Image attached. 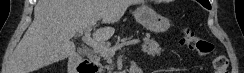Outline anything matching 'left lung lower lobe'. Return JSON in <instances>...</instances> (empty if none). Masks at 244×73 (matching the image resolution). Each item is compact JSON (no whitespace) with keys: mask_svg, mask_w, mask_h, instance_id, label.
Here are the masks:
<instances>
[{"mask_svg":"<svg viewBox=\"0 0 244 73\" xmlns=\"http://www.w3.org/2000/svg\"><path fill=\"white\" fill-rule=\"evenodd\" d=\"M198 1H199L204 7L207 6V9H211L210 3L207 4V2L204 1V0H198Z\"/></svg>","mask_w":244,"mask_h":73,"instance_id":"1","label":"left lung lower lobe"}]
</instances>
